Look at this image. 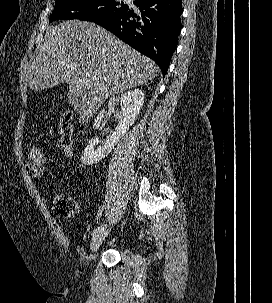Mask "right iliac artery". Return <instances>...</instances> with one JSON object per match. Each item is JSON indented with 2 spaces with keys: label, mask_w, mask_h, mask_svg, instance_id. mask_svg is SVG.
<instances>
[{
  "label": "right iliac artery",
  "mask_w": 272,
  "mask_h": 303,
  "mask_svg": "<svg viewBox=\"0 0 272 303\" xmlns=\"http://www.w3.org/2000/svg\"><path fill=\"white\" fill-rule=\"evenodd\" d=\"M112 216H113V215H112ZM111 219H112V218H111ZM105 227H106L105 224H104V225H101V226H99V227H97V228L92 232V235H93V236L96 235V234L99 233L100 231L104 230Z\"/></svg>",
  "instance_id": "obj_1"
}]
</instances>
